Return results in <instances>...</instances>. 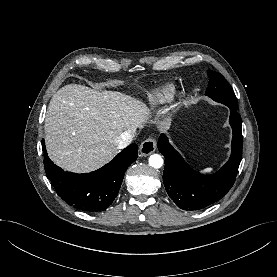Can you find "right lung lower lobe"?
I'll use <instances>...</instances> for the list:
<instances>
[{"instance_id": "obj_1", "label": "right lung lower lobe", "mask_w": 277, "mask_h": 277, "mask_svg": "<svg viewBox=\"0 0 277 277\" xmlns=\"http://www.w3.org/2000/svg\"><path fill=\"white\" fill-rule=\"evenodd\" d=\"M45 172L59 196L70 206L83 212H101L114 201L124 172L138 158V147L131 144L102 168L84 174L64 172L47 156L42 140Z\"/></svg>"}]
</instances>
